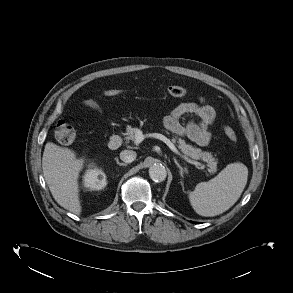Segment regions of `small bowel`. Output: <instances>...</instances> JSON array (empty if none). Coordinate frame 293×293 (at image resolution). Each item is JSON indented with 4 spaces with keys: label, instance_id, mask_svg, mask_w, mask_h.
I'll list each match as a JSON object with an SVG mask.
<instances>
[{
    "label": "small bowel",
    "instance_id": "obj_1",
    "mask_svg": "<svg viewBox=\"0 0 293 293\" xmlns=\"http://www.w3.org/2000/svg\"><path fill=\"white\" fill-rule=\"evenodd\" d=\"M82 104L98 114L102 113V108L95 100L86 99ZM215 118L214 108L205 99L199 98L197 101L178 105L169 116L164 118L163 123L166 129L177 136L187 138L199 146H206L212 137L210 126Z\"/></svg>",
    "mask_w": 293,
    "mask_h": 293
}]
</instances>
